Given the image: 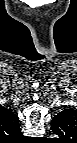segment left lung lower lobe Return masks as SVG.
I'll use <instances>...</instances> for the list:
<instances>
[{"instance_id": "0a47b994", "label": "left lung lower lobe", "mask_w": 77, "mask_h": 143, "mask_svg": "<svg viewBox=\"0 0 77 143\" xmlns=\"http://www.w3.org/2000/svg\"><path fill=\"white\" fill-rule=\"evenodd\" d=\"M75 111L73 109H65L63 111H61L60 113H58L53 119H52V124L55 123H62L63 121H69L73 115H74Z\"/></svg>"}]
</instances>
